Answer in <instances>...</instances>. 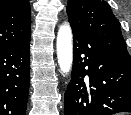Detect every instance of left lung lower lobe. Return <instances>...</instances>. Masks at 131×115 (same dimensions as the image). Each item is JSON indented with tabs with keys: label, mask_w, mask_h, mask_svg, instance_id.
Segmentation results:
<instances>
[{
	"label": "left lung lower lobe",
	"mask_w": 131,
	"mask_h": 115,
	"mask_svg": "<svg viewBox=\"0 0 131 115\" xmlns=\"http://www.w3.org/2000/svg\"><path fill=\"white\" fill-rule=\"evenodd\" d=\"M72 30L74 58L64 95L65 115L131 112V66L114 58L92 36Z\"/></svg>",
	"instance_id": "left-lung-lower-lobe-1"
}]
</instances>
